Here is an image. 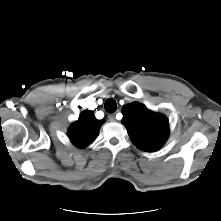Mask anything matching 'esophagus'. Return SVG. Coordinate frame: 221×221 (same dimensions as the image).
Instances as JSON below:
<instances>
[{"instance_id":"1","label":"esophagus","mask_w":221,"mask_h":221,"mask_svg":"<svg viewBox=\"0 0 221 221\" xmlns=\"http://www.w3.org/2000/svg\"><path fill=\"white\" fill-rule=\"evenodd\" d=\"M108 119H109L110 122H115L116 121L115 114H109Z\"/></svg>"}]
</instances>
